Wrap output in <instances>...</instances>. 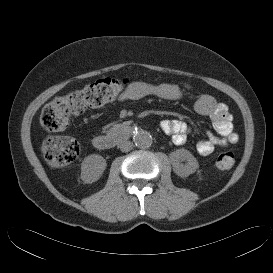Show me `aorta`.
<instances>
[{
	"label": "aorta",
	"instance_id": "aorta-1",
	"mask_svg": "<svg viewBox=\"0 0 273 273\" xmlns=\"http://www.w3.org/2000/svg\"><path fill=\"white\" fill-rule=\"evenodd\" d=\"M133 139H134L135 145L139 148L150 147L153 142V138H152L151 134L145 130L140 129V128H138L134 132Z\"/></svg>",
	"mask_w": 273,
	"mask_h": 273
}]
</instances>
